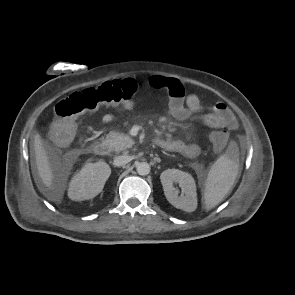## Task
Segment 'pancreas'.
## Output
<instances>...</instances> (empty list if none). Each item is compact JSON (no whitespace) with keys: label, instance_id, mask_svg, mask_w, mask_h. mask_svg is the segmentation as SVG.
Listing matches in <instances>:
<instances>
[{"label":"pancreas","instance_id":"1","mask_svg":"<svg viewBox=\"0 0 295 295\" xmlns=\"http://www.w3.org/2000/svg\"><path fill=\"white\" fill-rule=\"evenodd\" d=\"M105 141L109 144L111 149L116 152L124 151L134 144V141L131 137L116 131H112L107 134Z\"/></svg>","mask_w":295,"mask_h":295}]
</instances>
